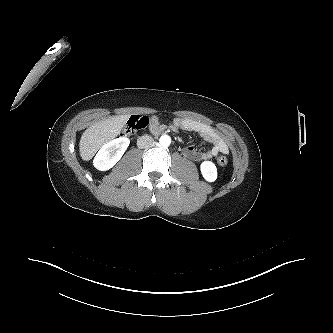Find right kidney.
Segmentation results:
<instances>
[{"mask_svg":"<svg viewBox=\"0 0 333 333\" xmlns=\"http://www.w3.org/2000/svg\"><path fill=\"white\" fill-rule=\"evenodd\" d=\"M130 144L126 137H120L107 142L96 154L93 165L99 171H107L112 168L122 157Z\"/></svg>","mask_w":333,"mask_h":333,"instance_id":"right-kidney-1","label":"right kidney"}]
</instances>
